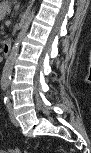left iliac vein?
I'll list each match as a JSON object with an SVG mask.
<instances>
[{
  "instance_id": "4c4485c4",
  "label": "left iliac vein",
  "mask_w": 91,
  "mask_h": 153,
  "mask_svg": "<svg viewBox=\"0 0 91 153\" xmlns=\"http://www.w3.org/2000/svg\"><path fill=\"white\" fill-rule=\"evenodd\" d=\"M9 115H10L11 122L15 126H18L19 125V122L17 121V119L15 117V114H14V111H13V108L12 107L9 108Z\"/></svg>"
}]
</instances>
